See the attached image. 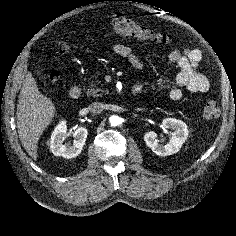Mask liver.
I'll return each mask as SVG.
<instances>
[{"mask_svg": "<svg viewBox=\"0 0 236 236\" xmlns=\"http://www.w3.org/2000/svg\"><path fill=\"white\" fill-rule=\"evenodd\" d=\"M55 106L43 95L32 74L25 76L17 105V129L20 141L27 153L37 159V143L42 132L55 116Z\"/></svg>", "mask_w": 236, "mask_h": 236, "instance_id": "liver-1", "label": "liver"}]
</instances>
